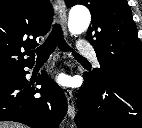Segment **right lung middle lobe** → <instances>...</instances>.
Here are the masks:
<instances>
[{
  "label": "right lung middle lobe",
  "instance_id": "right-lung-middle-lobe-1",
  "mask_svg": "<svg viewBox=\"0 0 142 128\" xmlns=\"http://www.w3.org/2000/svg\"><path fill=\"white\" fill-rule=\"evenodd\" d=\"M19 72L20 71L9 73V74L2 75V76L0 75V86L10 83L17 76Z\"/></svg>",
  "mask_w": 142,
  "mask_h": 128
}]
</instances>
